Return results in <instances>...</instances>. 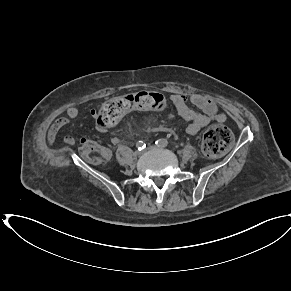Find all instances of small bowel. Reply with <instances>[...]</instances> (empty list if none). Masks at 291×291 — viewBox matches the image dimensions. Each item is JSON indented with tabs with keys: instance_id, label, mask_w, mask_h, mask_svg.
<instances>
[{
	"instance_id": "obj_1",
	"label": "small bowel",
	"mask_w": 291,
	"mask_h": 291,
	"mask_svg": "<svg viewBox=\"0 0 291 291\" xmlns=\"http://www.w3.org/2000/svg\"><path fill=\"white\" fill-rule=\"evenodd\" d=\"M171 102L176 113L188 122L186 132L190 135H195L212 122L224 123L226 121V115L219 111L216 103L204 95L198 93H193L189 96L173 94L171 95ZM91 113L94 117H97L98 111L92 110ZM79 115V107L71 106L64 116L56 119L47 134L48 145L53 146L59 131ZM87 141L86 138L80 139L82 144ZM111 141L116 145L120 142V138L115 136ZM64 142L68 146H73L76 143V139L69 135L65 137ZM108 155L110 157V151H108Z\"/></svg>"
}]
</instances>
